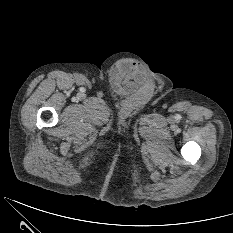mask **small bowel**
I'll list each match as a JSON object with an SVG mask.
<instances>
[{
    "mask_svg": "<svg viewBox=\"0 0 233 233\" xmlns=\"http://www.w3.org/2000/svg\"><path fill=\"white\" fill-rule=\"evenodd\" d=\"M113 90L119 95H129L140 88L146 79L144 67L137 61L122 59L109 72Z\"/></svg>",
    "mask_w": 233,
    "mask_h": 233,
    "instance_id": "small-bowel-1",
    "label": "small bowel"
}]
</instances>
